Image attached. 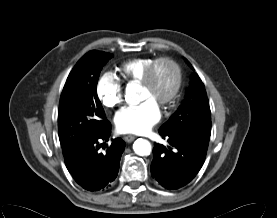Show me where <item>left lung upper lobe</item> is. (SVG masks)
<instances>
[{
    "label": "left lung upper lobe",
    "instance_id": "1",
    "mask_svg": "<svg viewBox=\"0 0 277 218\" xmlns=\"http://www.w3.org/2000/svg\"><path fill=\"white\" fill-rule=\"evenodd\" d=\"M185 61L190 65L188 60L185 59ZM170 128L211 130V111L208 97L204 84L196 73L191 78L190 88L187 90L182 105L161 126L160 130Z\"/></svg>",
    "mask_w": 277,
    "mask_h": 218
}]
</instances>
